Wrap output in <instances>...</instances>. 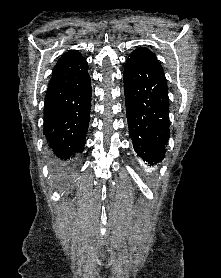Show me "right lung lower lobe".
<instances>
[{"label": "right lung lower lobe", "instance_id": "right-lung-lower-lobe-1", "mask_svg": "<svg viewBox=\"0 0 221 278\" xmlns=\"http://www.w3.org/2000/svg\"><path fill=\"white\" fill-rule=\"evenodd\" d=\"M91 81L88 72L48 88L44 102V135L55 166L69 172L81 153L90 120Z\"/></svg>", "mask_w": 221, "mask_h": 278}]
</instances>
